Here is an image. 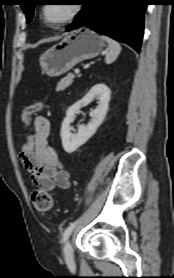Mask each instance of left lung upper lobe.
<instances>
[{"label":"left lung upper lobe","mask_w":174,"mask_h":278,"mask_svg":"<svg viewBox=\"0 0 174 278\" xmlns=\"http://www.w3.org/2000/svg\"><path fill=\"white\" fill-rule=\"evenodd\" d=\"M85 0H79L82 5ZM38 0H22L21 7L24 10L27 22L29 23L33 17L34 6L37 4Z\"/></svg>","instance_id":"left-lung-upper-lobe-1"}]
</instances>
